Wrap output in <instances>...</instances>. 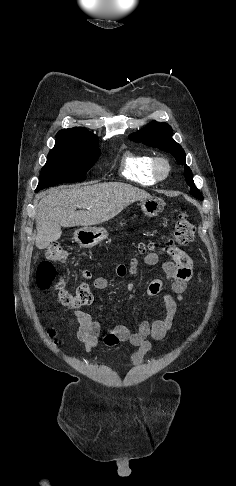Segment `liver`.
I'll return each mask as SVG.
<instances>
[{
  "label": "liver",
  "instance_id": "6515ba94",
  "mask_svg": "<svg viewBox=\"0 0 236 486\" xmlns=\"http://www.w3.org/2000/svg\"><path fill=\"white\" fill-rule=\"evenodd\" d=\"M43 195L36 214L37 247L45 240L43 232L50 223L63 227L96 225L115 217L131 203L152 197L118 182L52 188ZM78 206H84V210L76 211Z\"/></svg>",
  "mask_w": 236,
  "mask_h": 486
}]
</instances>
